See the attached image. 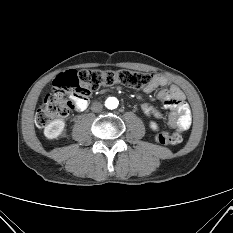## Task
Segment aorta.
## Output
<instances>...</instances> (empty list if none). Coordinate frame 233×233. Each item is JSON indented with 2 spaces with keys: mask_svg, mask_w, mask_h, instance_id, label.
Instances as JSON below:
<instances>
[{
  "mask_svg": "<svg viewBox=\"0 0 233 233\" xmlns=\"http://www.w3.org/2000/svg\"><path fill=\"white\" fill-rule=\"evenodd\" d=\"M118 104H119V101L117 100V98L115 97H109L107 98V100L105 101V106L108 108V109H115L118 107Z\"/></svg>",
  "mask_w": 233,
  "mask_h": 233,
  "instance_id": "aorta-1",
  "label": "aorta"
}]
</instances>
